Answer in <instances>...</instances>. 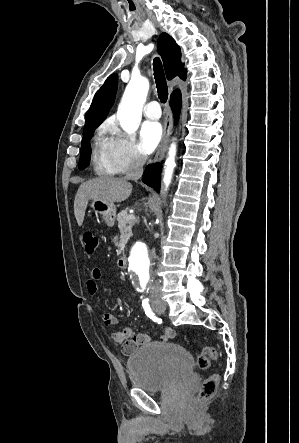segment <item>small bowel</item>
I'll use <instances>...</instances> for the list:
<instances>
[{
	"instance_id": "obj_1",
	"label": "small bowel",
	"mask_w": 299,
	"mask_h": 443,
	"mask_svg": "<svg viewBox=\"0 0 299 443\" xmlns=\"http://www.w3.org/2000/svg\"><path fill=\"white\" fill-rule=\"evenodd\" d=\"M100 278L101 270L99 268H93L86 282V288L90 294H97L98 281ZM100 319L109 326H114L119 323V319L109 312H102ZM162 329L163 333L159 336V342L165 343L175 337V331L173 329L167 327H163ZM110 338L114 343L124 345L123 352L126 355L133 354L140 346L151 341L150 337L144 333L134 334L133 329L130 327H123L119 331L112 332Z\"/></svg>"
}]
</instances>
